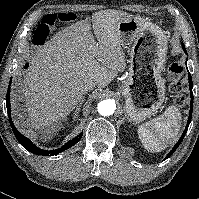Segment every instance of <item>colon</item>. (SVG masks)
I'll use <instances>...</instances> for the list:
<instances>
[{"label": "colon", "mask_w": 199, "mask_h": 199, "mask_svg": "<svg viewBox=\"0 0 199 199\" xmlns=\"http://www.w3.org/2000/svg\"><path fill=\"white\" fill-rule=\"evenodd\" d=\"M71 20V13H52L45 15L36 30L35 40H45L52 28H54L58 22H70ZM168 73L171 80L170 91L175 94L176 102L178 104H183L184 97L181 93L182 87L179 83V79L183 73V67L178 62H171L168 67Z\"/></svg>", "instance_id": "5ec220e1"}]
</instances>
